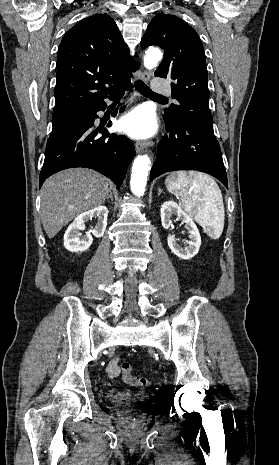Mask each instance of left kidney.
<instances>
[{
  "label": "left kidney",
  "mask_w": 279,
  "mask_h": 465,
  "mask_svg": "<svg viewBox=\"0 0 279 465\" xmlns=\"http://www.w3.org/2000/svg\"><path fill=\"white\" fill-rule=\"evenodd\" d=\"M161 223L165 229H168L172 224V215L177 216L189 232L188 246L180 247L173 235L168 236V246L171 251L181 259L189 260L193 258L199 251L201 245V237L198 228L192 218L184 212L181 207L174 201L169 200L161 206Z\"/></svg>",
  "instance_id": "1"
}]
</instances>
